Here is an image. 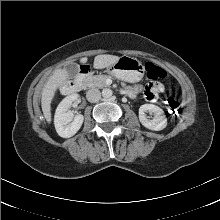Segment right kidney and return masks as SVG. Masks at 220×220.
I'll list each match as a JSON object with an SVG mask.
<instances>
[{"instance_id":"right-kidney-1","label":"right kidney","mask_w":220,"mask_h":220,"mask_svg":"<svg viewBox=\"0 0 220 220\" xmlns=\"http://www.w3.org/2000/svg\"><path fill=\"white\" fill-rule=\"evenodd\" d=\"M78 94H71L65 97L58 105L55 116L54 124L55 129L59 136L63 138L72 137L82 126L84 117L81 114L75 115L69 110L72 103L78 100Z\"/></svg>"}]
</instances>
